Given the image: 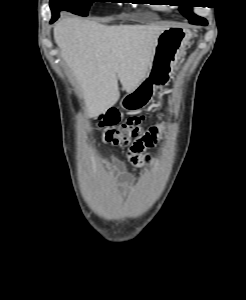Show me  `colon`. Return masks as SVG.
Instances as JSON below:
<instances>
[{
    "label": "colon",
    "instance_id": "colon-1",
    "mask_svg": "<svg viewBox=\"0 0 246 300\" xmlns=\"http://www.w3.org/2000/svg\"><path fill=\"white\" fill-rule=\"evenodd\" d=\"M147 116L144 114L130 116L119 125V113L110 110L97 119L98 126L103 130L104 140L113 146H130L137 153L152 149L157 144L159 128L145 130Z\"/></svg>",
    "mask_w": 246,
    "mask_h": 300
}]
</instances>
